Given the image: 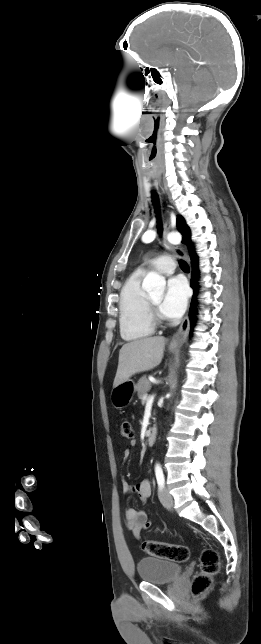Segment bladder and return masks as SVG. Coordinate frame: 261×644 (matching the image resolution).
<instances>
[{
	"instance_id": "obj_1",
	"label": "bladder",
	"mask_w": 261,
	"mask_h": 644,
	"mask_svg": "<svg viewBox=\"0 0 261 644\" xmlns=\"http://www.w3.org/2000/svg\"><path fill=\"white\" fill-rule=\"evenodd\" d=\"M137 573L144 582L167 584L175 581L181 575L182 566L156 557H145L138 561Z\"/></svg>"
}]
</instances>
